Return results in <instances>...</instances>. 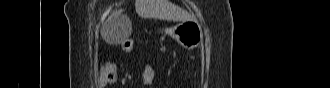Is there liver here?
I'll return each instance as SVG.
<instances>
[{"instance_id": "obj_1", "label": "liver", "mask_w": 330, "mask_h": 88, "mask_svg": "<svg viewBox=\"0 0 330 88\" xmlns=\"http://www.w3.org/2000/svg\"><path fill=\"white\" fill-rule=\"evenodd\" d=\"M135 8L137 14L143 18H158L173 21H188L194 19L192 15L176 7L169 0H136ZM128 23L131 25L130 22ZM107 27L108 25H105V28ZM106 40L112 42L109 38ZM116 42H120L119 38Z\"/></svg>"}]
</instances>
